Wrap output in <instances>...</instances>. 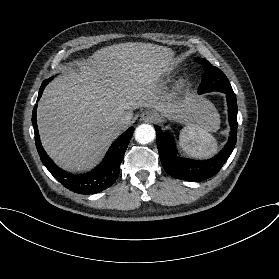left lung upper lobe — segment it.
Segmentation results:
<instances>
[{
    "label": "left lung upper lobe",
    "mask_w": 279,
    "mask_h": 279,
    "mask_svg": "<svg viewBox=\"0 0 279 279\" xmlns=\"http://www.w3.org/2000/svg\"><path fill=\"white\" fill-rule=\"evenodd\" d=\"M195 61L202 64L204 69L201 84L198 88L199 94L210 91L233 92L228 78L219 68L214 67L205 59L195 58Z\"/></svg>",
    "instance_id": "obj_1"
}]
</instances>
